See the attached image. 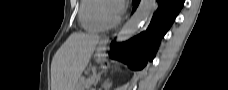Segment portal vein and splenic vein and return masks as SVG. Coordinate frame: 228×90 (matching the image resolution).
<instances>
[{"instance_id": "portal-vein-and-splenic-vein-1", "label": "portal vein and splenic vein", "mask_w": 228, "mask_h": 90, "mask_svg": "<svg viewBox=\"0 0 228 90\" xmlns=\"http://www.w3.org/2000/svg\"><path fill=\"white\" fill-rule=\"evenodd\" d=\"M94 78H92L91 80L88 81L89 85H91L93 83Z\"/></svg>"}]
</instances>
